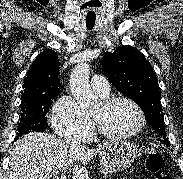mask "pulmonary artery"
<instances>
[{"label":"pulmonary artery","mask_w":183,"mask_h":179,"mask_svg":"<svg viewBox=\"0 0 183 179\" xmlns=\"http://www.w3.org/2000/svg\"><path fill=\"white\" fill-rule=\"evenodd\" d=\"M91 87L94 92L101 95L102 97H106L110 92V85L108 80L100 75H95L91 79Z\"/></svg>","instance_id":"obj_1"}]
</instances>
